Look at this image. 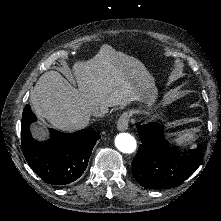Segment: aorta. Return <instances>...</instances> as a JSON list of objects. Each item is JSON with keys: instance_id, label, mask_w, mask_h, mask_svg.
Wrapping results in <instances>:
<instances>
[{"instance_id": "aorta-1", "label": "aorta", "mask_w": 221, "mask_h": 221, "mask_svg": "<svg viewBox=\"0 0 221 221\" xmlns=\"http://www.w3.org/2000/svg\"><path fill=\"white\" fill-rule=\"evenodd\" d=\"M115 146L122 153L130 154L136 150L135 138L129 133H119L115 138Z\"/></svg>"}]
</instances>
